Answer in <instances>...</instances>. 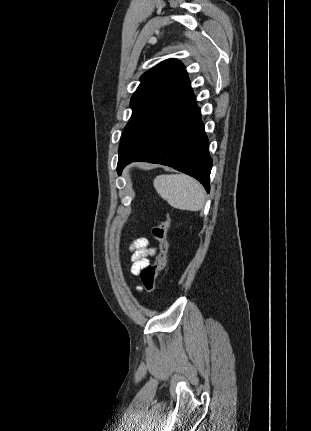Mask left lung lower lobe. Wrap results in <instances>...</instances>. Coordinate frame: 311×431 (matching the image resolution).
<instances>
[{
  "mask_svg": "<svg viewBox=\"0 0 311 431\" xmlns=\"http://www.w3.org/2000/svg\"><path fill=\"white\" fill-rule=\"evenodd\" d=\"M134 161L173 167L196 178L209 193L212 159L190 83L146 124L130 147L119 154L117 171Z\"/></svg>",
  "mask_w": 311,
  "mask_h": 431,
  "instance_id": "1",
  "label": "left lung lower lobe"
}]
</instances>
